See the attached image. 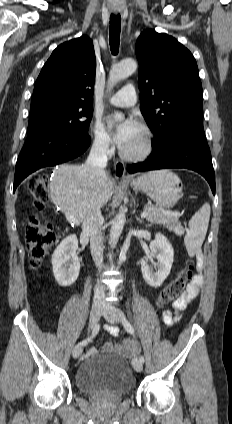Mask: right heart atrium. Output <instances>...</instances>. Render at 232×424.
Returning a JSON list of instances; mask_svg holds the SVG:
<instances>
[{"mask_svg":"<svg viewBox=\"0 0 232 424\" xmlns=\"http://www.w3.org/2000/svg\"><path fill=\"white\" fill-rule=\"evenodd\" d=\"M92 148L100 154H109L112 150L111 137L99 120H94L89 128Z\"/></svg>","mask_w":232,"mask_h":424,"instance_id":"d8ad5b80","label":"right heart atrium"}]
</instances>
